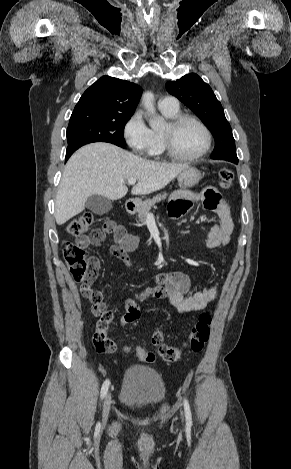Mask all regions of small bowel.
Returning <instances> with one entry per match:
<instances>
[{"instance_id": "c3829d8e", "label": "small bowel", "mask_w": 291, "mask_h": 469, "mask_svg": "<svg viewBox=\"0 0 291 469\" xmlns=\"http://www.w3.org/2000/svg\"><path fill=\"white\" fill-rule=\"evenodd\" d=\"M192 202H201L205 209L215 213L218 217V222L209 227L206 246L214 249L228 244L234 229L228 201L213 187L205 188L200 192L180 190L174 192L171 196L168 206L169 215L174 219L182 217L190 208ZM205 228V226L200 227L201 230ZM101 231L102 239L92 243L93 245H99L104 235L111 234L116 243L113 248L117 249L125 257L127 252L135 250L138 246V237L128 233L124 226L115 222H106ZM91 261L98 269V260L92 257ZM191 286L192 279L184 272L159 273L156 276L155 286L146 288L136 296L127 299L126 313L116 325L126 326L139 320L141 314L137 301L144 300L150 296L160 299L167 298L179 313H190L205 308L218 295V287L205 288L189 295ZM98 293L102 295L101 292Z\"/></svg>"}]
</instances>
